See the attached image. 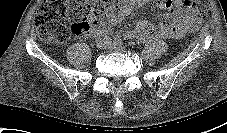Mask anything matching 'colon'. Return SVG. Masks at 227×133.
<instances>
[{
	"mask_svg": "<svg viewBox=\"0 0 227 133\" xmlns=\"http://www.w3.org/2000/svg\"><path fill=\"white\" fill-rule=\"evenodd\" d=\"M202 18L211 14L210 0H183ZM118 7L111 0H44L35 16L38 36L47 43H62L70 34L100 27Z\"/></svg>",
	"mask_w": 227,
	"mask_h": 133,
	"instance_id": "1",
	"label": "colon"
}]
</instances>
